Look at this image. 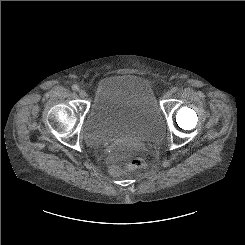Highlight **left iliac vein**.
Here are the masks:
<instances>
[{"instance_id": "left-iliac-vein-1", "label": "left iliac vein", "mask_w": 245, "mask_h": 245, "mask_svg": "<svg viewBox=\"0 0 245 245\" xmlns=\"http://www.w3.org/2000/svg\"><path fill=\"white\" fill-rule=\"evenodd\" d=\"M172 96V92L171 91H167L166 93H165V98H170Z\"/></svg>"}]
</instances>
